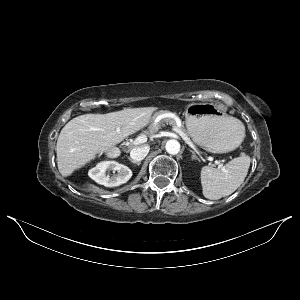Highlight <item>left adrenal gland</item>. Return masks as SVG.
Here are the masks:
<instances>
[{
  "mask_svg": "<svg viewBox=\"0 0 300 300\" xmlns=\"http://www.w3.org/2000/svg\"><path fill=\"white\" fill-rule=\"evenodd\" d=\"M190 151H191V153L193 154V155H192V159L200 161V159L196 156L195 152L192 151V150H190Z\"/></svg>",
  "mask_w": 300,
  "mask_h": 300,
  "instance_id": "1",
  "label": "left adrenal gland"
}]
</instances>
